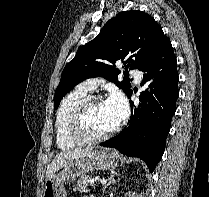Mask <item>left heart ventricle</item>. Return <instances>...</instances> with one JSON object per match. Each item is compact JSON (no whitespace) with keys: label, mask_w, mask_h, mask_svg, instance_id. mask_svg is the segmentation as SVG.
Masks as SVG:
<instances>
[{"label":"left heart ventricle","mask_w":209,"mask_h":197,"mask_svg":"<svg viewBox=\"0 0 209 197\" xmlns=\"http://www.w3.org/2000/svg\"><path fill=\"white\" fill-rule=\"evenodd\" d=\"M103 104L102 101L96 102L86 113L85 130L90 135H100L113 128Z\"/></svg>","instance_id":"b2bd125f"}]
</instances>
